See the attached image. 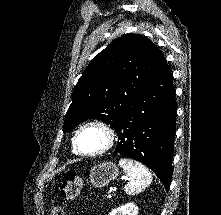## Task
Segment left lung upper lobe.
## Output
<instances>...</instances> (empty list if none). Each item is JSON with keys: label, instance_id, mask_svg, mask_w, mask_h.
I'll return each instance as SVG.
<instances>
[{"label": "left lung upper lobe", "instance_id": "5c2ea615", "mask_svg": "<svg viewBox=\"0 0 221 215\" xmlns=\"http://www.w3.org/2000/svg\"><path fill=\"white\" fill-rule=\"evenodd\" d=\"M164 62L156 45L142 35L126 34L113 40L80 77L63 131H71L89 118L116 128Z\"/></svg>", "mask_w": 221, "mask_h": 215}]
</instances>
